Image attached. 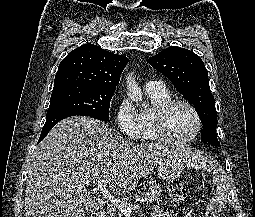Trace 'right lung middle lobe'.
<instances>
[{"label":"right lung middle lobe","instance_id":"right-lung-middle-lobe-1","mask_svg":"<svg viewBox=\"0 0 255 217\" xmlns=\"http://www.w3.org/2000/svg\"><path fill=\"white\" fill-rule=\"evenodd\" d=\"M114 92L78 85L53 88L46 116L58 112H71L107 122Z\"/></svg>","mask_w":255,"mask_h":217}]
</instances>
